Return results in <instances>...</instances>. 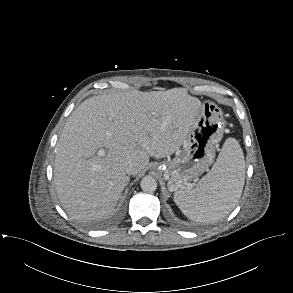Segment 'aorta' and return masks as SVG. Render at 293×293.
<instances>
[{
    "mask_svg": "<svg viewBox=\"0 0 293 293\" xmlns=\"http://www.w3.org/2000/svg\"><path fill=\"white\" fill-rule=\"evenodd\" d=\"M140 187L144 192H154L157 189V182L151 176H145L142 178Z\"/></svg>",
    "mask_w": 293,
    "mask_h": 293,
    "instance_id": "aorta-1",
    "label": "aorta"
}]
</instances>
